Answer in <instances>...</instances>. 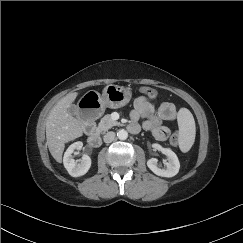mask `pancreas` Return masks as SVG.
<instances>
[{"instance_id":"cf45deb5","label":"pancreas","mask_w":243,"mask_h":243,"mask_svg":"<svg viewBox=\"0 0 243 243\" xmlns=\"http://www.w3.org/2000/svg\"><path fill=\"white\" fill-rule=\"evenodd\" d=\"M120 125L119 122L113 120L109 114L105 115L98 124L97 130L100 133H104L111 129L113 126Z\"/></svg>"}]
</instances>
